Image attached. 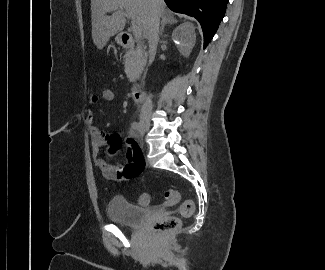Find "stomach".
Masks as SVG:
<instances>
[{"label": "stomach", "instance_id": "0dacf381", "mask_svg": "<svg viewBox=\"0 0 325 270\" xmlns=\"http://www.w3.org/2000/svg\"><path fill=\"white\" fill-rule=\"evenodd\" d=\"M116 41H117L118 43H121V37H120V35H118V36L116 37Z\"/></svg>", "mask_w": 325, "mask_h": 270}]
</instances>
